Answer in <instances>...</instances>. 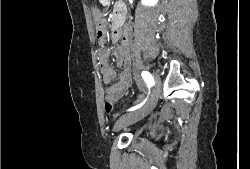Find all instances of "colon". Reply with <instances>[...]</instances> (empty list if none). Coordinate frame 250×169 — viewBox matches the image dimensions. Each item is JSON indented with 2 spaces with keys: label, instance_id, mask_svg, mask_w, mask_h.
I'll list each match as a JSON object with an SVG mask.
<instances>
[{
  "label": "colon",
  "instance_id": "obj_1",
  "mask_svg": "<svg viewBox=\"0 0 250 169\" xmlns=\"http://www.w3.org/2000/svg\"><path fill=\"white\" fill-rule=\"evenodd\" d=\"M95 36L100 37V42H105V33H103L102 24H98L95 27ZM115 103L114 97H107L106 103L104 104L105 108H113V104ZM107 114H112V109H107Z\"/></svg>",
  "mask_w": 250,
  "mask_h": 169
}]
</instances>
